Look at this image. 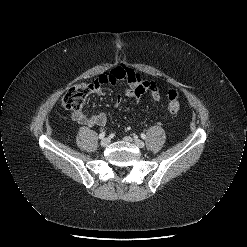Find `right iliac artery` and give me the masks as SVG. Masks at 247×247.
Instances as JSON below:
<instances>
[{
	"label": "right iliac artery",
	"mask_w": 247,
	"mask_h": 247,
	"mask_svg": "<svg viewBox=\"0 0 247 247\" xmlns=\"http://www.w3.org/2000/svg\"><path fill=\"white\" fill-rule=\"evenodd\" d=\"M105 132H101L100 134H99V139H103L104 137H105Z\"/></svg>",
	"instance_id": "82829eb1"
}]
</instances>
